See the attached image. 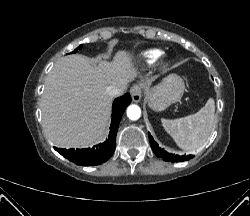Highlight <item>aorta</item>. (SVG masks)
I'll return each instance as SVG.
<instances>
[{"mask_svg": "<svg viewBox=\"0 0 250 216\" xmlns=\"http://www.w3.org/2000/svg\"><path fill=\"white\" fill-rule=\"evenodd\" d=\"M127 116L131 120H138L141 116V109L137 105H130L127 108Z\"/></svg>", "mask_w": 250, "mask_h": 216, "instance_id": "aorta-1", "label": "aorta"}]
</instances>
